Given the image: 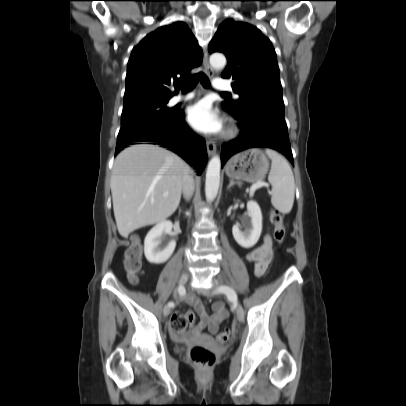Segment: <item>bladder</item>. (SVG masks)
<instances>
[{
	"label": "bladder",
	"mask_w": 406,
	"mask_h": 406,
	"mask_svg": "<svg viewBox=\"0 0 406 406\" xmlns=\"http://www.w3.org/2000/svg\"><path fill=\"white\" fill-rule=\"evenodd\" d=\"M176 351H177V352H181V351H182V348H181L180 346H177V347H176Z\"/></svg>",
	"instance_id": "bladder-1"
}]
</instances>
